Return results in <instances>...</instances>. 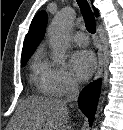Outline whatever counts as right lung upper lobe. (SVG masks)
I'll return each mask as SVG.
<instances>
[{"label":"right lung upper lobe","instance_id":"obj_1","mask_svg":"<svg viewBox=\"0 0 123 130\" xmlns=\"http://www.w3.org/2000/svg\"><path fill=\"white\" fill-rule=\"evenodd\" d=\"M95 15L98 16L97 9L93 8ZM47 14L45 11H40L32 20L29 32L27 33L23 45L22 56L32 55L39 43L44 37L46 24H47Z\"/></svg>","mask_w":123,"mask_h":130}]
</instances>
